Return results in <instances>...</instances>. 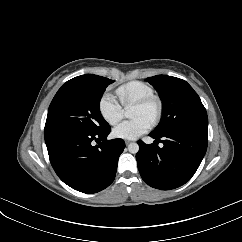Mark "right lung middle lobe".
Masks as SVG:
<instances>
[{
	"mask_svg": "<svg viewBox=\"0 0 242 242\" xmlns=\"http://www.w3.org/2000/svg\"><path fill=\"white\" fill-rule=\"evenodd\" d=\"M114 80L91 74L67 81L54 96L45 124V132L61 128H82L100 133L110 128L99 109L106 87Z\"/></svg>",
	"mask_w": 242,
	"mask_h": 242,
	"instance_id": "right-lung-middle-lobe-1",
	"label": "right lung middle lobe"
}]
</instances>
